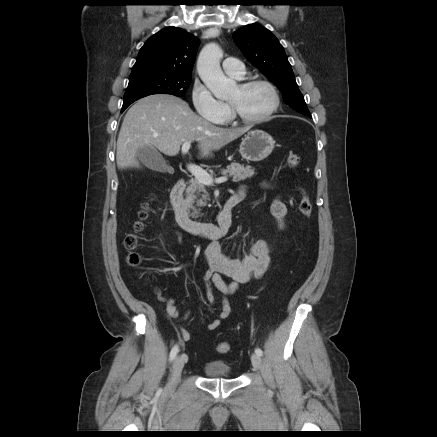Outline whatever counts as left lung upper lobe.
<instances>
[{"label":"left lung upper lobe","instance_id":"left-lung-upper-lobe-1","mask_svg":"<svg viewBox=\"0 0 437 437\" xmlns=\"http://www.w3.org/2000/svg\"><path fill=\"white\" fill-rule=\"evenodd\" d=\"M232 37L244 56L279 88L286 104L311 117L278 39L259 24L246 25L234 32Z\"/></svg>","mask_w":437,"mask_h":437}]
</instances>
